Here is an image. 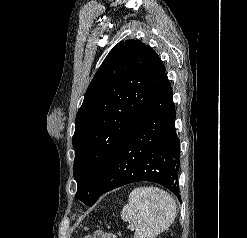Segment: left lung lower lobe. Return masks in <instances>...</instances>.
I'll return each instance as SVG.
<instances>
[{
    "label": "left lung lower lobe",
    "instance_id": "obj_1",
    "mask_svg": "<svg viewBox=\"0 0 247 238\" xmlns=\"http://www.w3.org/2000/svg\"><path fill=\"white\" fill-rule=\"evenodd\" d=\"M175 118L172 88L164 74L148 107L114 156L99 197L137 181L156 182L179 197L180 141Z\"/></svg>",
    "mask_w": 247,
    "mask_h": 238
}]
</instances>
